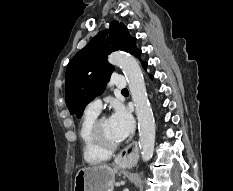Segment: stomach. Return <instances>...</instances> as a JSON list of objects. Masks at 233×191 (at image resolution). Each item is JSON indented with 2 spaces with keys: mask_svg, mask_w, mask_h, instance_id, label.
Here are the masks:
<instances>
[{
  "mask_svg": "<svg viewBox=\"0 0 233 191\" xmlns=\"http://www.w3.org/2000/svg\"><path fill=\"white\" fill-rule=\"evenodd\" d=\"M118 167L125 164L118 163ZM115 168L85 167L78 170L74 181V191H113Z\"/></svg>",
  "mask_w": 233,
  "mask_h": 191,
  "instance_id": "1",
  "label": "stomach"
}]
</instances>
